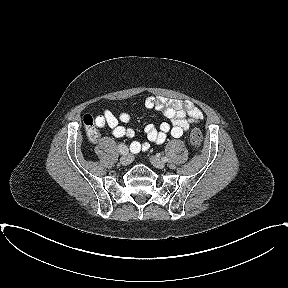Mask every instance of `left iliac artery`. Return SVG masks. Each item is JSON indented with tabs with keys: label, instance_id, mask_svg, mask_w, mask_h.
Listing matches in <instances>:
<instances>
[{
	"label": "left iliac artery",
	"instance_id": "obj_1",
	"mask_svg": "<svg viewBox=\"0 0 288 288\" xmlns=\"http://www.w3.org/2000/svg\"><path fill=\"white\" fill-rule=\"evenodd\" d=\"M162 161L166 162L167 161V157H162Z\"/></svg>",
	"mask_w": 288,
	"mask_h": 288
}]
</instances>
